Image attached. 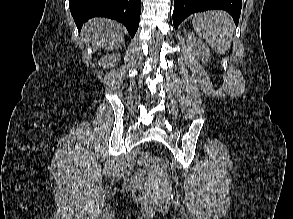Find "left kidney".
<instances>
[{
	"instance_id": "obj_1",
	"label": "left kidney",
	"mask_w": 293,
	"mask_h": 219,
	"mask_svg": "<svg viewBox=\"0 0 293 219\" xmlns=\"http://www.w3.org/2000/svg\"><path fill=\"white\" fill-rule=\"evenodd\" d=\"M185 36L188 38V42L190 43V46L193 48L195 54L202 60H208L210 57L209 48L201 41L192 39L191 34L185 33Z\"/></svg>"
}]
</instances>
